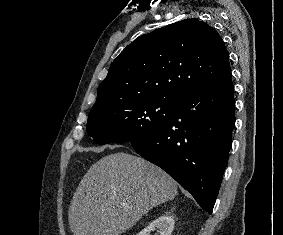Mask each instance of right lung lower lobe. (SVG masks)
<instances>
[{
    "mask_svg": "<svg viewBox=\"0 0 283 235\" xmlns=\"http://www.w3.org/2000/svg\"><path fill=\"white\" fill-rule=\"evenodd\" d=\"M231 76L175 100L169 120L131 141L135 151L159 166L212 213L227 165L235 123Z\"/></svg>",
    "mask_w": 283,
    "mask_h": 235,
    "instance_id": "right-lung-lower-lobe-1",
    "label": "right lung lower lobe"
}]
</instances>
